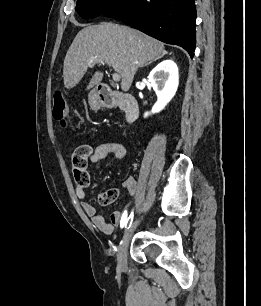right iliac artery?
I'll use <instances>...</instances> for the list:
<instances>
[{"label":"right iliac artery","mask_w":261,"mask_h":306,"mask_svg":"<svg viewBox=\"0 0 261 306\" xmlns=\"http://www.w3.org/2000/svg\"><path fill=\"white\" fill-rule=\"evenodd\" d=\"M134 217V212L132 211L129 217H127V211L125 210L122 216V219L120 221V228H129L132 224Z\"/></svg>","instance_id":"1"}]
</instances>
